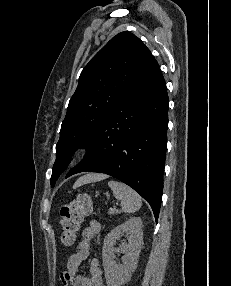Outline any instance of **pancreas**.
<instances>
[{
    "label": "pancreas",
    "mask_w": 231,
    "mask_h": 286,
    "mask_svg": "<svg viewBox=\"0 0 231 286\" xmlns=\"http://www.w3.org/2000/svg\"><path fill=\"white\" fill-rule=\"evenodd\" d=\"M118 212H119V211L116 210L115 208H110L109 211H108V213H109L110 215H113V214L118 213Z\"/></svg>",
    "instance_id": "1"
}]
</instances>
